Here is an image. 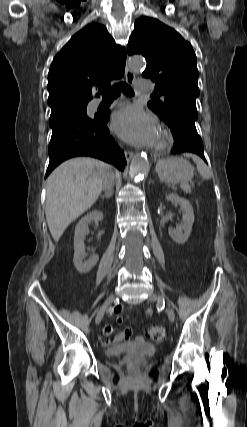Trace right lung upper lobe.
<instances>
[{
    "instance_id": "cb5924a9",
    "label": "right lung upper lobe",
    "mask_w": 247,
    "mask_h": 427,
    "mask_svg": "<svg viewBox=\"0 0 247 427\" xmlns=\"http://www.w3.org/2000/svg\"><path fill=\"white\" fill-rule=\"evenodd\" d=\"M125 62V48L115 44L105 26L84 27L51 64L47 86L51 112L87 105L96 87L108 88L111 80L123 76Z\"/></svg>"
}]
</instances>
